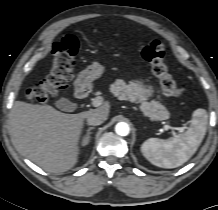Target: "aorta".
Segmentation results:
<instances>
[{
  "mask_svg": "<svg viewBox=\"0 0 218 210\" xmlns=\"http://www.w3.org/2000/svg\"><path fill=\"white\" fill-rule=\"evenodd\" d=\"M115 131L120 136H127L129 134V125L125 122H119L115 126Z\"/></svg>",
  "mask_w": 218,
  "mask_h": 210,
  "instance_id": "aorta-1",
  "label": "aorta"
}]
</instances>
